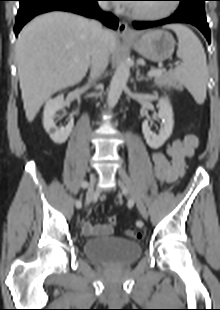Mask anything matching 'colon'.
I'll list each match as a JSON object with an SVG mask.
<instances>
[{"label":"colon","instance_id":"1","mask_svg":"<svg viewBox=\"0 0 220 310\" xmlns=\"http://www.w3.org/2000/svg\"><path fill=\"white\" fill-rule=\"evenodd\" d=\"M109 222L112 225L116 224L117 223V217L115 215L110 216ZM126 235L130 238H133V239H139L142 236L140 232L133 230V229L127 230Z\"/></svg>","mask_w":220,"mask_h":310}]
</instances>
